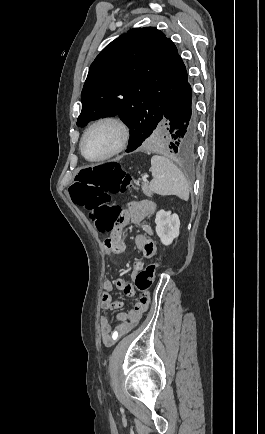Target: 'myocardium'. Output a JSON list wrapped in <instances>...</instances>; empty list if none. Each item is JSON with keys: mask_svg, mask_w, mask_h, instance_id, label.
Masks as SVG:
<instances>
[{"mask_svg": "<svg viewBox=\"0 0 265 434\" xmlns=\"http://www.w3.org/2000/svg\"><path fill=\"white\" fill-rule=\"evenodd\" d=\"M105 124H109L114 126L117 131H118V141L116 146L105 156L100 157V158H89L87 157L84 152H83V144L84 141L86 139V137L88 136V134L93 131L94 129L98 128L99 126L105 125ZM130 139V128L129 125L127 124V122L116 115H105L102 117H99L98 119H96L95 121H93L84 131L80 141H79V153L82 156L83 159H85L86 161L90 162V163H94V164H100V163H104L110 159H112L113 157H115L116 155H118L119 153H121L128 145Z\"/></svg>", "mask_w": 265, "mask_h": 434, "instance_id": "f54148a6", "label": "myocardium"}]
</instances>
